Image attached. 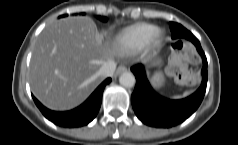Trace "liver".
Returning <instances> with one entry per match:
<instances>
[{
    "instance_id": "liver-1",
    "label": "liver",
    "mask_w": 238,
    "mask_h": 145,
    "mask_svg": "<svg viewBox=\"0 0 238 145\" xmlns=\"http://www.w3.org/2000/svg\"><path fill=\"white\" fill-rule=\"evenodd\" d=\"M117 50L89 17L55 21L39 35L32 52L29 83L34 96L52 110L77 107L101 83L99 70Z\"/></svg>"
}]
</instances>
